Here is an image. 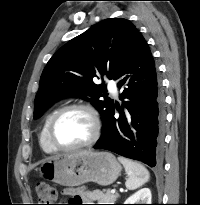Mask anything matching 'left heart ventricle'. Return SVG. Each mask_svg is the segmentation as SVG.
<instances>
[{"label": "left heart ventricle", "instance_id": "b2bd125f", "mask_svg": "<svg viewBox=\"0 0 200 205\" xmlns=\"http://www.w3.org/2000/svg\"><path fill=\"white\" fill-rule=\"evenodd\" d=\"M91 132L89 115L83 110H70L57 120L53 135L58 144L72 146L87 140Z\"/></svg>", "mask_w": 200, "mask_h": 205}]
</instances>
